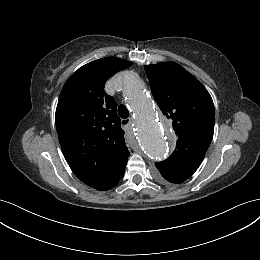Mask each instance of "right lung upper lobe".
Segmentation results:
<instances>
[{
  "instance_id": "obj_1",
  "label": "right lung upper lobe",
  "mask_w": 260,
  "mask_h": 260,
  "mask_svg": "<svg viewBox=\"0 0 260 260\" xmlns=\"http://www.w3.org/2000/svg\"><path fill=\"white\" fill-rule=\"evenodd\" d=\"M131 65L120 58L92 61L69 77L60 93L55 121L64 157L74 174L92 188L112 184L125 172L129 151L117 104L104 85Z\"/></svg>"
}]
</instances>
